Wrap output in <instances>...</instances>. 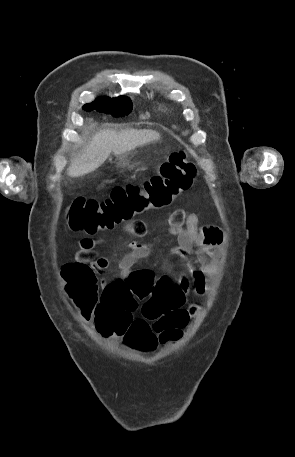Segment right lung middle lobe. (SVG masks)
<instances>
[{
	"mask_svg": "<svg viewBox=\"0 0 295 457\" xmlns=\"http://www.w3.org/2000/svg\"><path fill=\"white\" fill-rule=\"evenodd\" d=\"M132 102L128 97L120 96L117 98H98L90 104L83 106L86 111L96 110L114 117H121L132 111Z\"/></svg>",
	"mask_w": 295,
	"mask_h": 457,
	"instance_id": "dd1d6c3e",
	"label": "right lung middle lobe"
}]
</instances>
